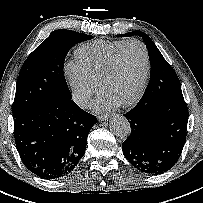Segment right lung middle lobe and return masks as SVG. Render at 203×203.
Returning a JSON list of instances; mask_svg holds the SVG:
<instances>
[{
    "label": "right lung middle lobe",
    "instance_id": "obj_1",
    "mask_svg": "<svg viewBox=\"0 0 203 203\" xmlns=\"http://www.w3.org/2000/svg\"><path fill=\"white\" fill-rule=\"evenodd\" d=\"M93 37L75 31H53L25 60L16 85L13 117L51 102L71 99L63 72L69 49Z\"/></svg>",
    "mask_w": 203,
    "mask_h": 203
}]
</instances>
